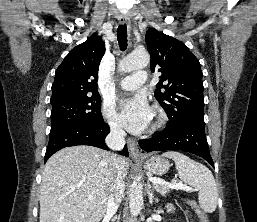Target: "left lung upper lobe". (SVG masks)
Instances as JSON below:
<instances>
[{"label": "left lung upper lobe", "mask_w": 257, "mask_h": 222, "mask_svg": "<svg viewBox=\"0 0 257 222\" xmlns=\"http://www.w3.org/2000/svg\"><path fill=\"white\" fill-rule=\"evenodd\" d=\"M146 44L151 71L160 74L154 96L167 113V124L191 119L204 121L203 74L199 60L184 43L154 28L146 32Z\"/></svg>", "instance_id": "obj_1"}]
</instances>
